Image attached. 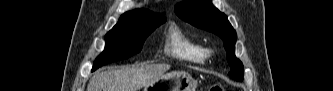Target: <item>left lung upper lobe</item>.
<instances>
[{
    "label": "left lung upper lobe",
    "instance_id": "5c2ea615",
    "mask_svg": "<svg viewBox=\"0 0 333 91\" xmlns=\"http://www.w3.org/2000/svg\"><path fill=\"white\" fill-rule=\"evenodd\" d=\"M176 14L184 21L218 35L224 41L229 76L236 81L243 80V64L235 56L237 35L227 16L215 8L210 0H186L175 6Z\"/></svg>",
    "mask_w": 333,
    "mask_h": 91
}]
</instances>
